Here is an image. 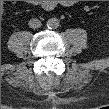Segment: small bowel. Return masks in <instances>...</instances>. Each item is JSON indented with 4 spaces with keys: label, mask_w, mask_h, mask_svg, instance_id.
I'll return each mask as SVG.
<instances>
[{
    "label": "small bowel",
    "mask_w": 109,
    "mask_h": 109,
    "mask_svg": "<svg viewBox=\"0 0 109 109\" xmlns=\"http://www.w3.org/2000/svg\"><path fill=\"white\" fill-rule=\"evenodd\" d=\"M44 6H45L46 9H50L49 4L46 3Z\"/></svg>",
    "instance_id": "obj_1"
}]
</instances>
